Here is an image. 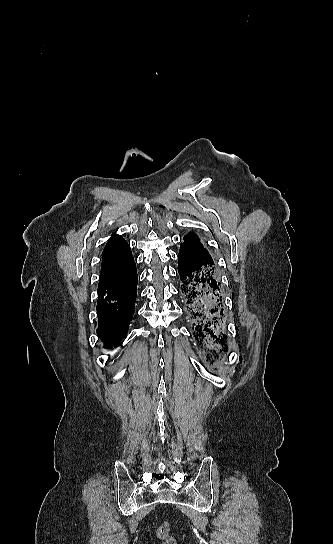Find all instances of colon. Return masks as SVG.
<instances>
[{"mask_svg": "<svg viewBox=\"0 0 333 544\" xmlns=\"http://www.w3.org/2000/svg\"><path fill=\"white\" fill-rule=\"evenodd\" d=\"M157 536L162 540L163 544H177L175 539L170 535V524L164 522L157 529Z\"/></svg>", "mask_w": 333, "mask_h": 544, "instance_id": "5ec220e1", "label": "colon"}]
</instances>
